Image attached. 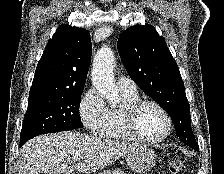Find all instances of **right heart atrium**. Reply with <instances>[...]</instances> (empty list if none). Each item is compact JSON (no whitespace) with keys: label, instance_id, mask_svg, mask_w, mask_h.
<instances>
[{"label":"right heart atrium","instance_id":"1","mask_svg":"<svg viewBox=\"0 0 224 174\" xmlns=\"http://www.w3.org/2000/svg\"><path fill=\"white\" fill-rule=\"evenodd\" d=\"M79 115L83 125L91 134L100 135L105 129L108 108L96 89H88L81 98Z\"/></svg>","mask_w":224,"mask_h":174}]
</instances>
